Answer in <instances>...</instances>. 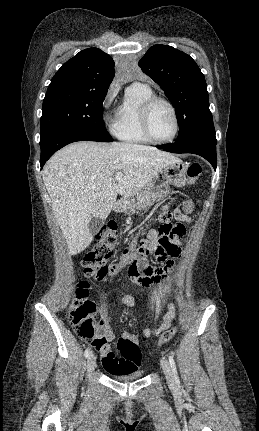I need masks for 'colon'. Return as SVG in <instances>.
I'll use <instances>...</instances> for the list:
<instances>
[{
    "label": "colon",
    "instance_id": "colon-1",
    "mask_svg": "<svg viewBox=\"0 0 259 431\" xmlns=\"http://www.w3.org/2000/svg\"><path fill=\"white\" fill-rule=\"evenodd\" d=\"M202 172L198 163H191L186 169V179L188 184L195 183ZM185 213L194 210V203L186 200L182 203ZM186 234L185 225L182 222H164L156 230L154 237L144 239L137 245L125 250L122 259L115 264L108 265L116 253L118 246V230L115 223L105 224L97 233V245L87 253L82 261L84 273L98 282H103L117 276L126 266H150L148 259L151 257L156 261H163L168 256H172L176 251V243ZM148 281V280H147ZM89 283L81 281L75 290L74 299L68 310V319L78 335L91 342L93 346H100L105 343L104 337L99 331V322L96 318V304L88 299ZM176 328L164 330L158 340V344L168 342L176 333ZM146 335V334H145ZM118 351L120 354L136 357L139 352L137 344L130 341H119ZM135 369L126 364L120 372L134 371Z\"/></svg>",
    "mask_w": 259,
    "mask_h": 431
}]
</instances>
